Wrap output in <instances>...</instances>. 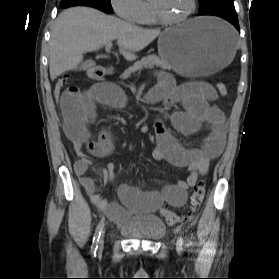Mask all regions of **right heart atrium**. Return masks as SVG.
<instances>
[{
  "label": "right heart atrium",
  "mask_w": 279,
  "mask_h": 279,
  "mask_svg": "<svg viewBox=\"0 0 279 279\" xmlns=\"http://www.w3.org/2000/svg\"><path fill=\"white\" fill-rule=\"evenodd\" d=\"M115 13L127 22L137 23L144 10L143 0H110Z\"/></svg>",
  "instance_id": "right-heart-atrium-1"
}]
</instances>
